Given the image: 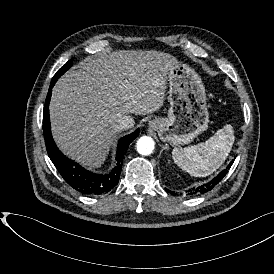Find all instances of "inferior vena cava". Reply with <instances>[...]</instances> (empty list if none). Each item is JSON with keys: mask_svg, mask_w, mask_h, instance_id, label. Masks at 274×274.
<instances>
[{"mask_svg": "<svg viewBox=\"0 0 274 274\" xmlns=\"http://www.w3.org/2000/svg\"><path fill=\"white\" fill-rule=\"evenodd\" d=\"M135 121L132 116L125 115L117 119L116 124L113 127L115 132H121L123 130L134 127Z\"/></svg>", "mask_w": 274, "mask_h": 274, "instance_id": "602c4592", "label": "inferior vena cava"}]
</instances>
